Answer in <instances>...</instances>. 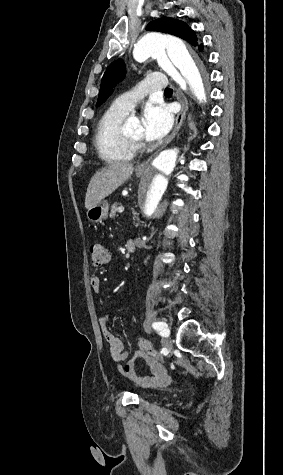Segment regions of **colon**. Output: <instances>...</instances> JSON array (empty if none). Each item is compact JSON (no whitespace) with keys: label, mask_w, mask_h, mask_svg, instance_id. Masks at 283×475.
Here are the masks:
<instances>
[{"label":"colon","mask_w":283,"mask_h":475,"mask_svg":"<svg viewBox=\"0 0 283 475\" xmlns=\"http://www.w3.org/2000/svg\"><path fill=\"white\" fill-rule=\"evenodd\" d=\"M109 258V253L101 243H94L91 245V263L93 267L103 266ZM138 352L137 355L131 356L132 362L147 363L151 366L161 365L163 358L158 351L152 348L151 344L143 339L137 340Z\"/></svg>","instance_id":"1"}]
</instances>
